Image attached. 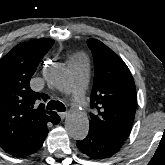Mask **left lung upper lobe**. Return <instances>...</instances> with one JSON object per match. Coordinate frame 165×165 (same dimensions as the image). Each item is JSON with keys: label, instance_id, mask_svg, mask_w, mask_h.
I'll return each instance as SVG.
<instances>
[{"label": "left lung upper lobe", "instance_id": "obj_1", "mask_svg": "<svg viewBox=\"0 0 165 165\" xmlns=\"http://www.w3.org/2000/svg\"><path fill=\"white\" fill-rule=\"evenodd\" d=\"M94 57V82L90 96V127L125 141L135 117L137 94L127 65L105 44L87 41Z\"/></svg>", "mask_w": 165, "mask_h": 165}]
</instances>
